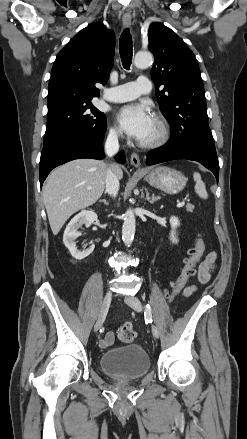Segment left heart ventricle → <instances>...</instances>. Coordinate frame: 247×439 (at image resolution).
<instances>
[{
  "label": "left heart ventricle",
  "mask_w": 247,
  "mask_h": 439,
  "mask_svg": "<svg viewBox=\"0 0 247 439\" xmlns=\"http://www.w3.org/2000/svg\"><path fill=\"white\" fill-rule=\"evenodd\" d=\"M157 134H158V127L153 119L152 127H151L148 135L142 141H151L157 136Z\"/></svg>",
  "instance_id": "1"
}]
</instances>
